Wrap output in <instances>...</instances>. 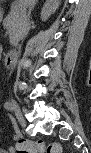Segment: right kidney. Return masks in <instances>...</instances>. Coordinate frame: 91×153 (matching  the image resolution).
Segmentation results:
<instances>
[{"mask_svg":"<svg viewBox=\"0 0 91 153\" xmlns=\"http://www.w3.org/2000/svg\"><path fill=\"white\" fill-rule=\"evenodd\" d=\"M56 10V7L54 5H51L49 2H46L44 7L41 11V20L46 21L52 13H54Z\"/></svg>","mask_w":91,"mask_h":153,"instance_id":"obj_1","label":"right kidney"}]
</instances>
